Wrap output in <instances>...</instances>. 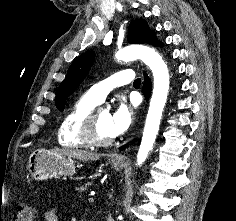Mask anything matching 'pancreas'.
<instances>
[{
	"instance_id": "obj_1",
	"label": "pancreas",
	"mask_w": 236,
	"mask_h": 221,
	"mask_svg": "<svg viewBox=\"0 0 236 221\" xmlns=\"http://www.w3.org/2000/svg\"><path fill=\"white\" fill-rule=\"evenodd\" d=\"M85 190H87L86 187H81V188L79 189V193L81 194V193L84 192Z\"/></svg>"
}]
</instances>
